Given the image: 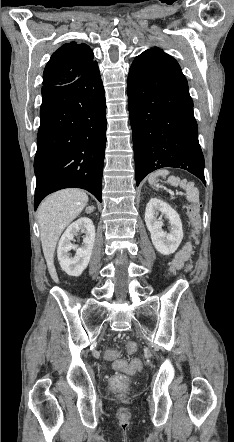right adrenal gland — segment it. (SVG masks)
<instances>
[{"mask_svg":"<svg viewBox=\"0 0 234 442\" xmlns=\"http://www.w3.org/2000/svg\"><path fill=\"white\" fill-rule=\"evenodd\" d=\"M88 209H94V207H89ZM88 209H87V211H88Z\"/></svg>","mask_w":234,"mask_h":442,"instance_id":"obj_1","label":"right adrenal gland"}]
</instances>
